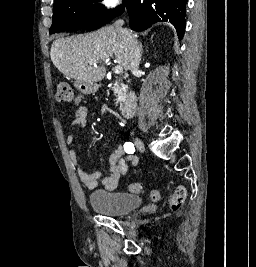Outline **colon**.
I'll return each mask as SVG.
<instances>
[{
    "instance_id": "5ec220e1",
    "label": "colon",
    "mask_w": 256,
    "mask_h": 267,
    "mask_svg": "<svg viewBox=\"0 0 256 267\" xmlns=\"http://www.w3.org/2000/svg\"><path fill=\"white\" fill-rule=\"evenodd\" d=\"M56 98L58 101L66 103H77L80 99L79 95L76 93L73 85L68 82H60L57 85ZM128 190L130 193L139 195L143 192V184L141 182H132L128 185ZM187 192L184 186L178 185L170 197L169 205L173 212L179 210L182 206ZM150 197L152 201L157 200L158 191L152 189L150 191Z\"/></svg>"
}]
</instances>
